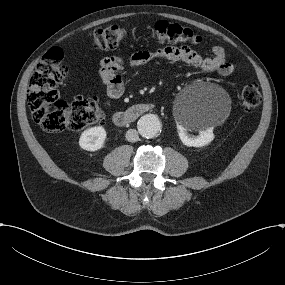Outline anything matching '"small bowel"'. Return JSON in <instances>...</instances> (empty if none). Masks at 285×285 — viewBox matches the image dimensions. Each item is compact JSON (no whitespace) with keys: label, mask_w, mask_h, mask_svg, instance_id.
I'll return each instance as SVG.
<instances>
[{"label":"small bowel","mask_w":285,"mask_h":285,"mask_svg":"<svg viewBox=\"0 0 285 285\" xmlns=\"http://www.w3.org/2000/svg\"><path fill=\"white\" fill-rule=\"evenodd\" d=\"M155 60L184 62L195 68L215 72L226 77L232 74L234 67L228 61L226 51L222 46H214L212 56L202 57L189 46H165L155 51L141 50L135 52L128 62L117 56H108L101 60L99 75L111 98H118L124 92V82L121 73L127 68H135Z\"/></svg>","instance_id":"1"}]
</instances>
